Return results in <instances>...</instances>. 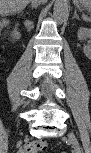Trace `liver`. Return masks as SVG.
<instances>
[{"instance_id": "1", "label": "liver", "mask_w": 91, "mask_h": 153, "mask_svg": "<svg viewBox=\"0 0 91 153\" xmlns=\"http://www.w3.org/2000/svg\"><path fill=\"white\" fill-rule=\"evenodd\" d=\"M30 0H1V11L4 13H16L23 10Z\"/></svg>"}]
</instances>
